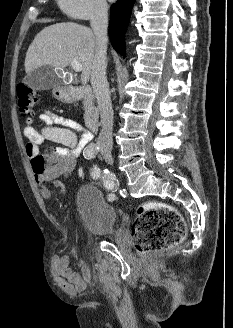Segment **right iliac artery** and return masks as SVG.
<instances>
[{
  "label": "right iliac artery",
  "mask_w": 233,
  "mask_h": 328,
  "mask_svg": "<svg viewBox=\"0 0 233 328\" xmlns=\"http://www.w3.org/2000/svg\"><path fill=\"white\" fill-rule=\"evenodd\" d=\"M99 152V148L95 144H91L84 153L86 159L94 158ZM106 175L102 180L103 187L107 190V199L113 202L116 199L115 192L117 190V183L115 175L105 172Z\"/></svg>",
  "instance_id": "obj_1"
}]
</instances>
